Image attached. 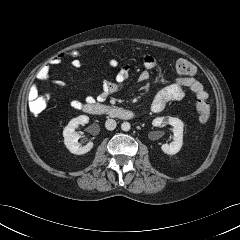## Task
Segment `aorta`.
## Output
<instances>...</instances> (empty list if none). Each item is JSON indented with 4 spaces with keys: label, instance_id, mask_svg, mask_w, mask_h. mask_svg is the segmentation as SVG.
I'll list each match as a JSON object with an SVG mask.
<instances>
[{
    "label": "aorta",
    "instance_id": "1",
    "mask_svg": "<svg viewBox=\"0 0 240 240\" xmlns=\"http://www.w3.org/2000/svg\"><path fill=\"white\" fill-rule=\"evenodd\" d=\"M130 128H131V125H130L129 122H123V123L121 124V129H122L123 131H129Z\"/></svg>",
    "mask_w": 240,
    "mask_h": 240
}]
</instances>
